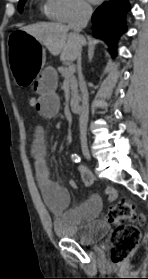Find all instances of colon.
<instances>
[{"label":"colon","instance_id":"1","mask_svg":"<svg viewBox=\"0 0 148 279\" xmlns=\"http://www.w3.org/2000/svg\"><path fill=\"white\" fill-rule=\"evenodd\" d=\"M31 108L36 109L38 98L30 96L27 100ZM104 219L116 225L110 238L111 259L114 263L126 260L137 248L140 240V229L135 224L143 218L137 216L132 201L122 199L112 206L104 215Z\"/></svg>","mask_w":148,"mask_h":279}]
</instances>
